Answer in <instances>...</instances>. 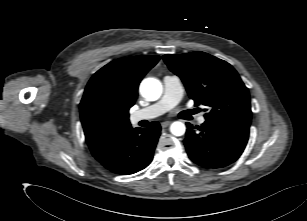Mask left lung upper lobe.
Returning a JSON list of instances; mask_svg holds the SVG:
<instances>
[{
  "mask_svg": "<svg viewBox=\"0 0 307 221\" xmlns=\"http://www.w3.org/2000/svg\"><path fill=\"white\" fill-rule=\"evenodd\" d=\"M169 69L184 82L195 105L205 106L206 120H229L250 125L247 87L227 62L204 52L163 56Z\"/></svg>",
  "mask_w": 307,
  "mask_h": 221,
  "instance_id": "5c2ea615",
  "label": "left lung upper lobe"
}]
</instances>
